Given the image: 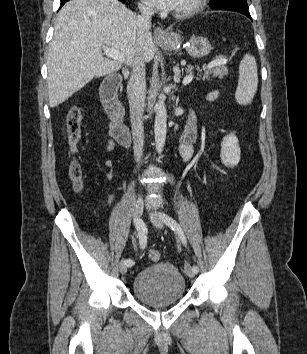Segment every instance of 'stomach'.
Returning a JSON list of instances; mask_svg holds the SVG:
<instances>
[{
  "label": "stomach",
  "instance_id": "stomach-1",
  "mask_svg": "<svg viewBox=\"0 0 307 354\" xmlns=\"http://www.w3.org/2000/svg\"><path fill=\"white\" fill-rule=\"evenodd\" d=\"M157 44L168 51H176L183 44V38L179 33L170 32L164 39H158ZM212 47L210 41L203 36H192L186 45L187 53L194 58L207 56Z\"/></svg>",
  "mask_w": 307,
  "mask_h": 354
}]
</instances>
